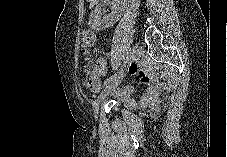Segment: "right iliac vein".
Instances as JSON below:
<instances>
[{"instance_id":"63e3f726","label":"right iliac vein","mask_w":227,"mask_h":157,"mask_svg":"<svg viewBox=\"0 0 227 157\" xmlns=\"http://www.w3.org/2000/svg\"><path fill=\"white\" fill-rule=\"evenodd\" d=\"M140 49L138 47H134L133 50L130 53V59L132 61H135L139 56ZM123 74H119L115 79H113L109 85H107L104 90L101 92V94L97 97L95 104H94V111H95V117H97L99 108L101 103L104 101V99L107 97V95L117 88L120 83L122 82Z\"/></svg>"}]
</instances>
